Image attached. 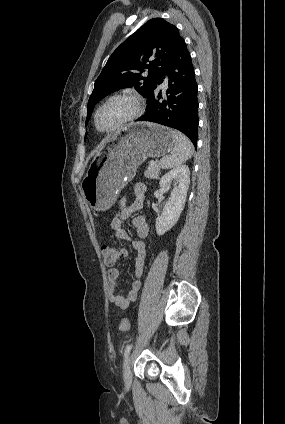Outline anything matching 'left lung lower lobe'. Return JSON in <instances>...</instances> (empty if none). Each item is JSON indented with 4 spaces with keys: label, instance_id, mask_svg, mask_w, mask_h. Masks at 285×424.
<instances>
[{
    "label": "left lung lower lobe",
    "instance_id": "left-lung-lower-lobe-1",
    "mask_svg": "<svg viewBox=\"0 0 285 424\" xmlns=\"http://www.w3.org/2000/svg\"><path fill=\"white\" fill-rule=\"evenodd\" d=\"M169 79L166 97L159 85L165 76ZM198 85L186 43L181 37L167 64L161 80L148 97L147 112L138 121L162 124L184 133L197 146L198 138Z\"/></svg>",
    "mask_w": 285,
    "mask_h": 424
}]
</instances>
